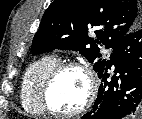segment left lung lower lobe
Returning a JSON list of instances; mask_svg holds the SVG:
<instances>
[{"label":"left lung lower lobe","mask_w":142,"mask_h":119,"mask_svg":"<svg viewBox=\"0 0 142 119\" xmlns=\"http://www.w3.org/2000/svg\"><path fill=\"white\" fill-rule=\"evenodd\" d=\"M115 66L110 81L108 69ZM93 110L83 119H122L142 111V28L126 34L114 47L102 72Z\"/></svg>","instance_id":"left-lung-lower-lobe-1"}]
</instances>
